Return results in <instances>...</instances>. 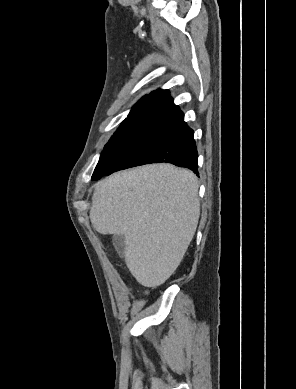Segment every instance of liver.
Returning a JSON list of instances; mask_svg holds the SVG:
<instances>
[{
	"label": "liver",
	"mask_w": 296,
	"mask_h": 389,
	"mask_svg": "<svg viewBox=\"0 0 296 389\" xmlns=\"http://www.w3.org/2000/svg\"><path fill=\"white\" fill-rule=\"evenodd\" d=\"M198 179L168 163L118 172L99 182L90 220L100 234L124 235L125 263L145 287L163 284L195 234Z\"/></svg>",
	"instance_id": "6515ba94"
}]
</instances>
